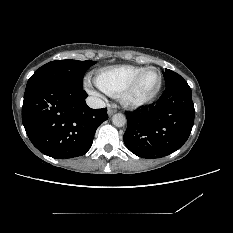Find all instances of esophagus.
<instances>
[{"label":"esophagus","instance_id":"esophagus-1","mask_svg":"<svg viewBox=\"0 0 233 233\" xmlns=\"http://www.w3.org/2000/svg\"><path fill=\"white\" fill-rule=\"evenodd\" d=\"M115 112H116V109H114V108H109L108 109V115L109 116L113 115Z\"/></svg>","mask_w":233,"mask_h":233}]
</instances>
